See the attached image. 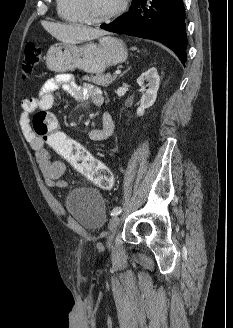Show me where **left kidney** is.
Wrapping results in <instances>:
<instances>
[{"instance_id":"left-kidney-1","label":"left kidney","mask_w":233,"mask_h":328,"mask_svg":"<svg viewBox=\"0 0 233 328\" xmlns=\"http://www.w3.org/2000/svg\"><path fill=\"white\" fill-rule=\"evenodd\" d=\"M148 82V88L145 93L142 95L141 104L137 109V115L142 116L145 112V109L151 107L157 97V91L159 89L160 77L158 75L157 69L152 67L142 73L137 79V83L140 87H144V83Z\"/></svg>"}]
</instances>
